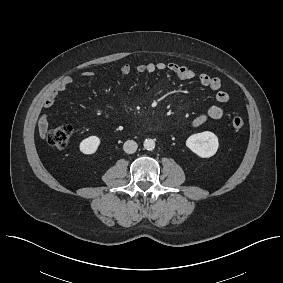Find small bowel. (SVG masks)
<instances>
[{"label":"small bowel","mask_w":283,"mask_h":283,"mask_svg":"<svg viewBox=\"0 0 283 283\" xmlns=\"http://www.w3.org/2000/svg\"><path fill=\"white\" fill-rule=\"evenodd\" d=\"M164 71H168L182 80L190 81L197 79L202 86L215 93V100L218 105L210 106L205 113H202L193 118L191 121V126L193 128H198L204 125L208 120H218L222 118L224 111L220 105L226 104L229 101L230 97L226 91L222 90L221 81L217 77H212L204 73L197 75L192 69L174 62H152L139 64L136 66L123 65L119 69V72L122 75H129L131 73L150 74L154 72ZM93 76L94 74L90 71L84 72L82 74V77L84 78H92ZM72 82L73 80L71 77H65L43 102L42 112L40 113L38 118V128L41 133H45L49 127V119L44 111L53 106L56 97L61 95L68 87H70Z\"/></svg>","instance_id":"1"}]
</instances>
